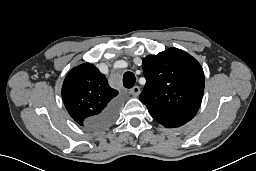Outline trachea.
<instances>
[{"mask_svg": "<svg viewBox=\"0 0 256 171\" xmlns=\"http://www.w3.org/2000/svg\"><path fill=\"white\" fill-rule=\"evenodd\" d=\"M135 82H136V77L132 72L127 71L124 73L123 85L125 88H132L135 85Z\"/></svg>", "mask_w": 256, "mask_h": 171, "instance_id": "obj_1", "label": "trachea"}]
</instances>
